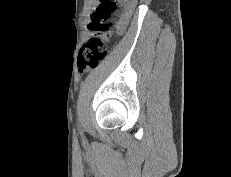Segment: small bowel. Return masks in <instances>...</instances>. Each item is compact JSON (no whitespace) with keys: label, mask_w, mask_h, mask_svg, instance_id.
<instances>
[{"label":"small bowel","mask_w":231,"mask_h":177,"mask_svg":"<svg viewBox=\"0 0 231 177\" xmlns=\"http://www.w3.org/2000/svg\"><path fill=\"white\" fill-rule=\"evenodd\" d=\"M126 26H127V21L126 20L120 21V23L117 26V32L119 34L123 33L124 30H125V28H126Z\"/></svg>","instance_id":"obj_1"}]
</instances>
